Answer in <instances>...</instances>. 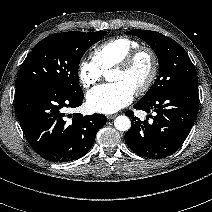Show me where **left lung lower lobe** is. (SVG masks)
I'll list each match as a JSON object with an SVG mask.
<instances>
[{
	"mask_svg": "<svg viewBox=\"0 0 212 212\" xmlns=\"http://www.w3.org/2000/svg\"><path fill=\"white\" fill-rule=\"evenodd\" d=\"M198 81L185 83L160 94L150 101H138L134 108L156 115L149 123L132 118L125 142L139 156L160 159L176 152L187 138L198 113Z\"/></svg>",
	"mask_w": 212,
	"mask_h": 212,
	"instance_id": "left-lung-lower-lobe-1",
	"label": "left lung lower lobe"
}]
</instances>
